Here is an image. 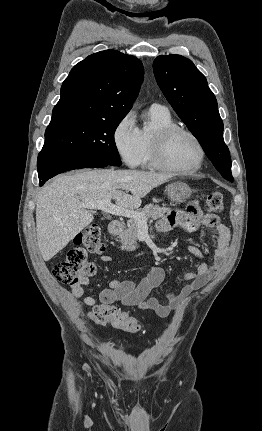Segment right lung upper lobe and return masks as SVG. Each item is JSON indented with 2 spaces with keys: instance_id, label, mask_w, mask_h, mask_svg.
<instances>
[{
  "instance_id": "obj_1",
  "label": "right lung upper lobe",
  "mask_w": 262,
  "mask_h": 431,
  "mask_svg": "<svg viewBox=\"0 0 262 431\" xmlns=\"http://www.w3.org/2000/svg\"><path fill=\"white\" fill-rule=\"evenodd\" d=\"M143 76V65L134 56L116 50L89 55L64 80L49 125L124 118L132 108Z\"/></svg>"
}]
</instances>
